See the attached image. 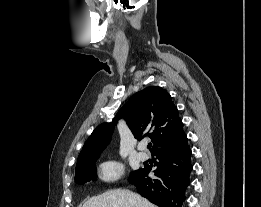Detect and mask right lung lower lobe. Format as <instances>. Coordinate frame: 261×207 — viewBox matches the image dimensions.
<instances>
[{
	"label": "right lung lower lobe",
	"mask_w": 261,
	"mask_h": 207,
	"mask_svg": "<svg viewBox=\"0 0 261 207\" xmlns=\"http://www.w3.org/2000/svg\"><path fill=\"white\" fill-rule=\"evenodd\" d=\"M152 156L158 160L154 165L155 176L148 177L152 167L145 165L130 175L129 182L143 197L160 207H181L192 171L187 136L171 146L154 151Z\"/></svg>",
	"instance_id": "98d812e1"
}]
</instances>
